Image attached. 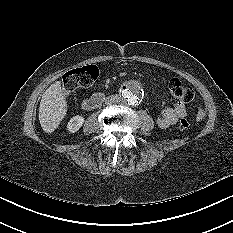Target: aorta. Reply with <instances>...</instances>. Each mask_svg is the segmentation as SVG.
<instances>
[{
    "mask_svg": "<svg viewBox=\"0 0 233 233\" xmlns=\"http://www.w3.org/2000/svg\"><path fill=\"white\" fill-rule=\"evenodd\" d=\"M121 100L124 104L136 106L143 97V89L138 81L128 82L121 91Z\"/></svg>",
    "mask_w": 233,
    "mask_h": 233,
    "instance_id": "obj_1",
    "label": "aorta"
}]
</instances>
